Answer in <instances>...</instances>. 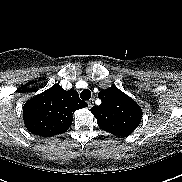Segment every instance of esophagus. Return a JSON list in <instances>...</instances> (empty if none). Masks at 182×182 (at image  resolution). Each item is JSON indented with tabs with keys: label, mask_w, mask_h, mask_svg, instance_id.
Masks as SVG:
<instances>
[{
	"label": "esophagus",
	"mask_w": 182,
	"mask_h": 182,
	"mask_svg": "<svg viewBox=\"0 0 182 182\" xmlns=\"http://www.w3.org/2000/svg\"><path fill=\"white\" fill-rule=\"evenodd\" d=\"M87 103H88V107L91 108L94 105V99L91 98Z\"/></svg>",
	"instance_id": "obj_1"
}]
</instances>
